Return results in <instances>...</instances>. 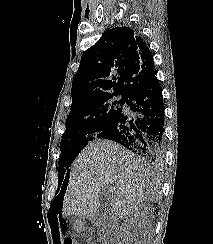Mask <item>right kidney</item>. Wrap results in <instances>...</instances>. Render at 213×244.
I'll return each mask as SVG.
<instances>
[{"label":"right kidney","instance_id":"1","mask_svg":"<svg viewBox=\"0 0 213 244\" xmlns=\"http://www.w3.org/2000/svg\"><path fill=\"white\" fill-rule=\"evenodd\" d=\"M142 209V205H139L135 208V210L131 213V216L137 217L139 215V211Z\"/></svg>","mask_w":213,"mask_h":244}]
</instances>
